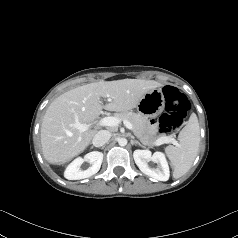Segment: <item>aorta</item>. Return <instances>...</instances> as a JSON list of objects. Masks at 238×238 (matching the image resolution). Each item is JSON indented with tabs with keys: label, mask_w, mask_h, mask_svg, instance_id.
Listing matches in <instances>:
<instances>
[{
	"label": "aorta",
	"mask_w": 238,
	"mask_h": 238,
	"mask_svg": "<svg viewBox=\"0 0 238 238\" xmlns=\"http://www.w3.org/2000/svg\"><path fill=\"white\" fill-rule=\"evenodd\" d=\"M118 144H119L120 146H126V145H127V139H126V138H120V139L118 140Z\"/></svg>",
	"instance_id": "762f6f07"
}]
</instances>
